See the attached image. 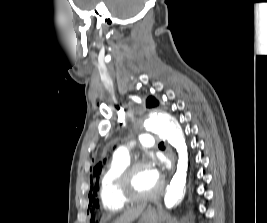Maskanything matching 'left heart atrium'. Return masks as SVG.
<instances>
[{
  "instance_id": "1",
  "label": "left heart atrium",
  "mask_w": 267,
  "mask_h": 223,
  "mask_svg": "<svg viewBox=\"0 0 267 223\" xmlns=\"http://www.w3.org/2000/svg\"><path fill=\"white\" fill-rule=\"evenodd\" d=\"M151 176L154 180L158 181L160 180V173L157 169H151Z\"/></svg>"
}]
</instances>
